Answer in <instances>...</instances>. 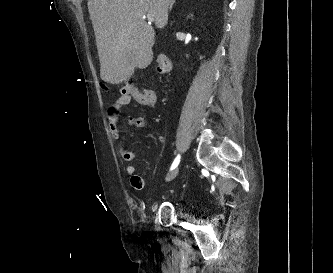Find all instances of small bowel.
<instances>
[{
  "instance_id": "small-bowel-1",
  "label": "small bowel",
  "mask_w": 333,
  "mask_h": 273,
  "mask_svg": "<svg viewBox=\"0 0 333 273\" xmlns=\"http://www.w3.org/2000/svg\"><path fill=\"white\" fill-rule=\"evenodd\" d=\"M132 101L147 107L154 106L156 103L155 89L151 84H148L146 88H143L141 91L137 89V91L130 96L121 95V97L110 108V114L115 115L121 108L128 105ZM130 124L135 128H144L147 125V121L143 117H136L131 120ZM110 130L112 132L113 138L116 141H119L120 135L115 123L110 125ZM121 157L126 162H132L139 157V154L134 151L121 148ZM126 173L130 176L131 186L135 190H142L144 188L143 179L136 174V167L134 165H127Z\"/></svg>"
}]
</instances>
